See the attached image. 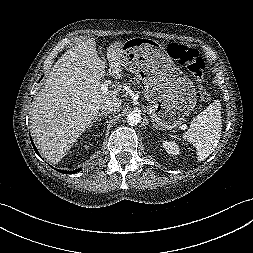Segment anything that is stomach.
<instances>
[{
    "mask_svg": "<svg viewBox=\"0 0 253 253\" xmlns=\"http://www.w3.org/2000/svg\"><path fill=\"white\" fill-rule=\"evenodd\" d=\"M124 67L145 84L149 114L156 126L173 129L195 107L193 82L178 69L158 41L136 37L120 47Z\"/></svg>",
    "mask_w": 253,
    "mask_h": 253,
    "instance_id": "0dacf381",
    "label": "stomach"
}]
</instances>
